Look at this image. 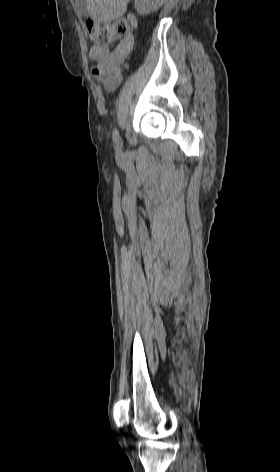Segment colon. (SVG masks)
<instances>
[{
	"label": "colon",
	"mask_w": 280,
	"mask_h": 472,
	"mask_svg": "<svg viewBox=\"0 0 280 472\" xmlns=\"http://www.w3.org/2000/svg\"><path fill=\"white\" fill-rule=\"evenodd\" d=\"M131 26V23L126 20L117 21L108 25H101L95 21H88L87 31L94 46L108 47L114 39L128 35Z\"/></svg>",
	"instance_id": "colon-1"
}]
</instances>
